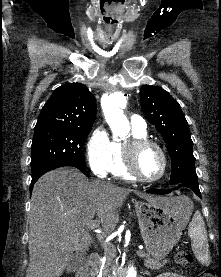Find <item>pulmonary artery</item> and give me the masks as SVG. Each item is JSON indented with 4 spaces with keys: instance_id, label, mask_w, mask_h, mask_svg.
Here are the masks:
<instances>
[{
    "instance_id": "obj_1",
    "label": "pulmonary artery",
    "mask_w": 221,
    "mask_h": 277,
    "mask_svg": "<svg viewBox=\"0 0 221 277\" xmlns=\"http://www.w3.org/2000/svg\"><path fill=\"white\" fill-rule=\"evenodd\" d=\"M130 124L133 130L146 132V122L142 117L138 115H132L130 118Z\"/></svg>"
}]
</instances>
